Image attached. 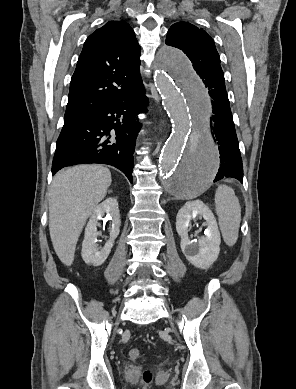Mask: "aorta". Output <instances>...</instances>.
Here are the masks:
<instances>
[{
    "label": "aorta",
    "mask_w": 296,
    "mask_h": 389,
    "mask_svg": "<svg viewBox=\"0 0 296 389\" xmlns=\"http://www.w3.org/2000/svg\"><path fill=\"white\" fill-rule=\"evenodd\" d=\"M154 80L172 122L159 159L164 189L180 198L196 196L219 168V152L209 129L212 94L186 55L172 47L159 51Z\"/></svg>",
    "instance_id": "1"
}]
</instances>
